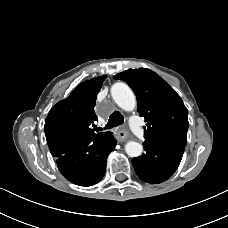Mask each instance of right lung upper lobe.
<instances>
[{
	"instance_id": "1",
	"label": "right lung upper lobe",
	"mask_w": 228,
	"mask_h": 228,
	"mask_svg": "<svg viewBox=\"0 0 228 228\" xmlns=\"http://www.w3.org/2000/svg\"><path fill=\"white\" fill-rule=\"evenodd\" d=\"M107 75L86 80L64 100L53 106L45 121L48 146L61 144L71 138L89 135L102 136L111 132L95 133L91 124L97 120L94 111L96 97Z\"/></svg>"
}]
</instances>
